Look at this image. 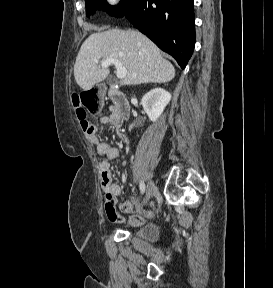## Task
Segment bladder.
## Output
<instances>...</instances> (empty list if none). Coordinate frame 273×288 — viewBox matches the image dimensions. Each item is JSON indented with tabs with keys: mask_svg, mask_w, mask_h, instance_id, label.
<instances>
[{
	"mask_svg": "<svg viewBox=\"0 0 273 288\" xmlns=\"http://www.w3.org/2000/svg\"><path fill=\"white\" fill-rule=\"evenodd\" d=\"M132 237L146 244L154 243L159 237L158 228L153 224H146L137 228Z\"/></svg>",
	"mask_w": 273,
	"mask_h": 288,
	"instance_id": "31cf9c89",
	"label": "bladder"
}]
</instances>
